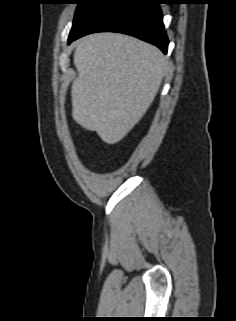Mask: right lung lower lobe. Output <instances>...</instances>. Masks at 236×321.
Listing matches in <instances>:
<instances>
[{
	"instance_id": "1",
	"label": "right lung lower lobe",
	"mask_w": 236,
	"mask_h": 321,
	"mask_svg": "<svg viewBox=\"0 0 236 321\" xmlns=\"http://www.w3.org/2000/svg\"><path fill=\"white\" fill-rule=\"evenodd\" d=\"M158 4V0H109L68 43L90 33L119 32L149 42L166 53L169 41Z\"/></svg>"
}]
</instances>
